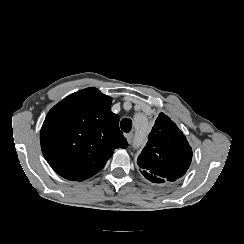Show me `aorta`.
Returning <instances> with one entry per match:
<instances>
[{
  "instance_id": "obj_1",
  "label": "aorta",
  "mask_w": 244,
  "mask_h": 244,
  "mask_svg": "<svg viewBox=\"0 0 244 244\" xmlns=\"http://www.w3.org/2000/svg\"><path fill=\"white\" fill-rule=\"evenodd\" d=\"M135 123L137 125V131L134 141V146H139L146 139V118L143 115H137L135 117Z\"/></svg>"
}]
</instances>
